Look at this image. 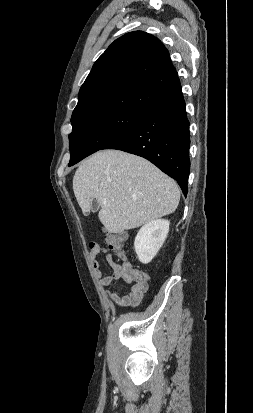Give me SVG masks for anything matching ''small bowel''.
Returning <instances> with one entry per match:
<instances>
[{"mask_svg":"<svg viewBox=\"0 0 253 413\" xmlns=\"http://www.w3.org/2000/svg\"><path fill=\"white\" fill-rule=\"evenodd\" d=\"M90 261L95 275L99 278V282L102 286L107 287L116 283H122L128 287L127 291L116 290L107 292L111 301L120 307H136L144 299L148 290V283H137L132 285L134 280L124 273L125 263L120 265L113 259V254L100 246L97 243L90 244ZM101 253H106V261L108 265L113 269L111 275H106L101 269L100 263L97 257Z\"/></svg>","mask_w":253,"mask_h":413,"instance_id":"c3829d8e","label":"small bowel"}]
</instances>
